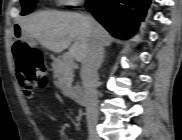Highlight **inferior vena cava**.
<instances>
[{"label": "inferior vena cava", "instance_id": "1", "mask_svg": "<svg viewBox=\"0 0 182 140\" xmlns=\"http://www.w3.org/2000/svg\"><path fill=\"white\" fill-rule=\"evenodd\" d=\"M85 21L88 26H91L93 19L89 15H85ZM103 54L104 49L102 44L96 38H93L91 49L82 62L81 68L87 124L90 134L95 132L98 121V93L96 85L98 81V69L102 63Z\"/></svg>", "mask_w": 182, "mask_h": 140}]
</instances>
